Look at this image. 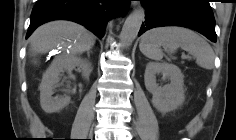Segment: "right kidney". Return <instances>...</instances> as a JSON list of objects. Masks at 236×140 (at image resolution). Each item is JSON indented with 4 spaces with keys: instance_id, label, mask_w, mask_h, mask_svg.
<instances>
[{
    "instance_id": "obj_1",
    "label": "right kidney",
    "mask_w": 236,
    "mask_h": 140,
    "mask_svg": "<svg viewBox=\"0 0 236 140\" xmlns=\"http://www.w3.org/2000/svg\"><path fill=\"white\" fill-rule=\"evenodd\" d=\"M75 67H80L85 78L91 73V64L76 56H62L56 58L42 77L40 89V104L46 113H54L64 108L70 102V96L52 97L53 90L64 71L71 72Z\"/></svg>"
}]
</instances>
